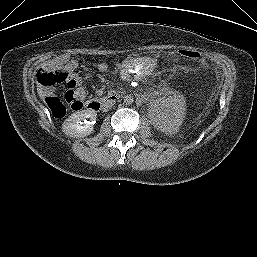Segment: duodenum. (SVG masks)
Here are the masks:
<instances>
[{
	"instance_id": "duodenum-1",
	"label": "duodenum",
	"mask_w": 257,
	"mask_h": 257,
	"mask_svg": "<svg viewBox=\"0 0 257 257\" xmlns=\"http://www.w3.org/2000/svg\"><path fill=\"white\" fill-rule=\"evenodd\" d=\"M119 98V93L110 92L102 98L89 100L86 104V108L89 111L98 112L101 109H106L112 106L118 101Z\"/></svg>"
}]
</instances>
